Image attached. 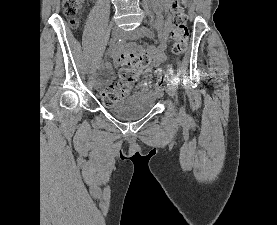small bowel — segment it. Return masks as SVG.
<instances>
[{
  "label": "small bowel",
  "mask_w": 277,
  "mask_h": 225,
  "mask_svg": "<svg viewBox=\"0 0 277 225\" xmlns=\"http://www.w3.org/2000/svg\"><path fill=\"white\" fill-rule=\"evenodd\" d=\"M173 0H152L153 2V8L156 15V27L160 32V37L162 40H166L168 37L169 32L172 29L171 24V13H170V7L172 5ZM165 16V26L163 27V17ZM148 54L150 55L152 59V65L150 70L158 67L164 60L165 55L162 51V49H157L154 47L148 48ZM109 55L114 58V64L115 66H119L120 64V55L119 52L116 50H110ZM99 71L104 75V79L101 81V85L106 84L109 79L111 78V71H112V65L110 62H104L100 68Z\"/></svg>",
  "instance_id": "c3829d8e"
}]
</instances>
